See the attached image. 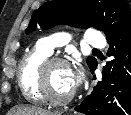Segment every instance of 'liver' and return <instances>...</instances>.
Returning <instances> with one entry per match:
<instances>
[{
    "mask_svg": "<svg viewBox=\"0 0 131 115\" xmlns=\"http://www.w3.org/2000/svg\"><path fill=\"white\" fill-rule=\"evenodd\" d=\"M13 114L15 115H53L51 112H47L37 107L20 106L17 107Z\"/></svg>",
    "mask_w": 131,
    "mask_h": 115,
    "instance_id": "obj_1",
    "label": "liver"
}]
</instances>
